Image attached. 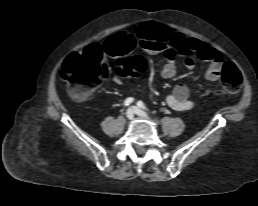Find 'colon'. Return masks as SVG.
<instances>
[{
	"instance_id": "obj_1",
	"label": "colon",
	"mask_w": 258,
	"mask_h": 206,
	"mask_svg": "<svg viewBox=\"0 0 258 206\" xmlns=\"http://www.w3.org/2000/svg\"><path fill=\"white\" fill-rule=\"evenodd\" d=\"M151 30V28H148ZM147 30V29H145ZM154 33L162 32V28H152ZM146 68V63L139 56L120 59L117 63V73L120 76H140ZM102 51L98 47L85 49L81 54L69 56L62 68L61 78L67 83L68 93L75 101L86 100L108 76ZM221 94L236 93L242 83L238 68L231 62H225L221 70Z\"/></svg>"
}]
</instances>
